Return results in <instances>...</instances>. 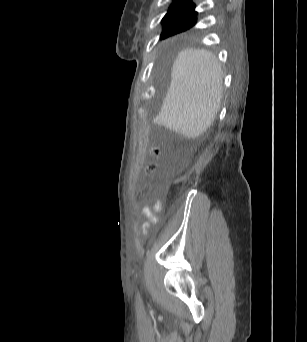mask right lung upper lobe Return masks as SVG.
Returning a JSON list of instances; mask_svg holds the SVG:
<instances>
[{
  "label": "right lung upper lobe",
  "instance_id": "obj_1",
  "mask_svg": "<svg viewBox=\"0 0 307 342\" xmlns=\"http://www.w3.org/2000/svg\"><path fill=\"white\" fill-rule=\"evenodd\" d=\"M194 8H195V4L191 0H174V2L172 3V5L169 8V11L193 10ZM195 25H193L192 27H194ZM199 26H200V24H197L192 30L193 31L197 30L199 28ZM192 27H190V28H192Z\"/></svg>",
  "mask_w": 307,
  "mask_h": 342
}]
</instances>
